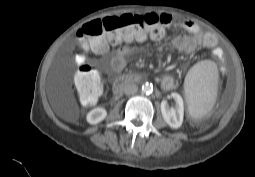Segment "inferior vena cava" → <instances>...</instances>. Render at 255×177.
<instances>
[{
  "label": "inferior vena cava",
  "instance_id": "inferior-vena-cava-1",
  "mask_svg": "<svg viewBox=\"0 0 255 177\" xmlns=\"http://www.w3.org/2000/svg\"><path fill=\"white\" fill-rule=\"evenodd\" d=\"M137 91H138V87L135 84H127L124 87V93L126 95H134L137 93Z\"/></svg>",
  "mask_w": 255,
  "mask_h": 177
}]
</instances>
